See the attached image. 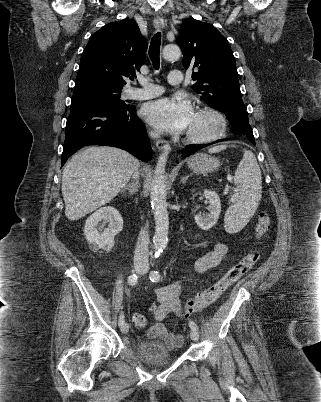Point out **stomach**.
Here are the masks:
<instances>
[{"instance_id": "stomach-1", "label": "stomach", "mask_w": 321, "mask_h": 402, "mask_svg": "<svg viewBox=\"0 0 321 402\" xmlns=\"http://www.w3.org/2000/svg\"><path fill=\"white\" fill-rule=\"evenodd\" d=\"M189 168L198 174H207L219 169L220 161L205 153H197L188 159Z\"/></svg>"}]
</instances>
